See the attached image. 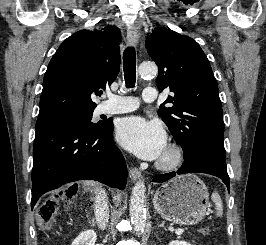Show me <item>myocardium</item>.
Wrapping results in <instances>:
<instances>
[{
	"mask_svg": "<svg viewBox=\"0 0 266 245\" xmlns=\"http://www.w3.org/2000/svg\"><path fill=\"white\" fill-rule=\"evenodd\" d=\"M182 158L183 150L181 146L174 142L170 143L166 147L164 154L157 161L156 167L163 171L174 170L180 165Z\"/></svg>",
	"mask_w": 266,
	"mask_h": 245,
	"instance_id": "obj_1",
	"label": "myocardium"
}]
</instances>
